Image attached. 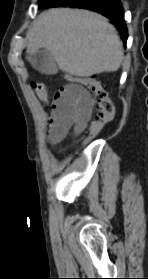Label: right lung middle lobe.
<instances>
[{
    "mask_svg": "<svg viewBox=\"0 0 148 279\" xmlns=\"http://www.w3.org/2000/svg\"><path fill=\"white\" fill-rule=\"evenodd\" d=\"M50 0H39L38 1V5L40 9L45 8L46 4L49 2Z\"/></svg>",
    "mask_w": 148,
    "mask_h": 279,
    "instance_id": "obj_1",
    "label": "right lung middle lobe"
}]
</instances>
